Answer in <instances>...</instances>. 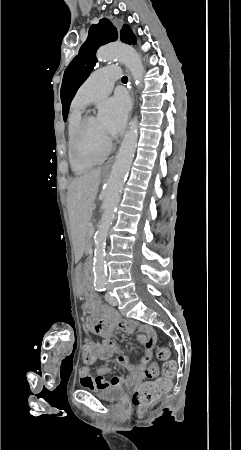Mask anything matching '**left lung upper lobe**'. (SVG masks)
Segmentation results:
<instances>
[{
  "label": "left lung upper lobe",
  "mask_w": 241,
  "mask_h": 450,
  "mask_svg": "<svg viewBox=\"0 0 241 450\" xmlns=\"http://www.w3.org/2000/svg\"><path fill=\"white\" fill-rule=\"evenodd\" d=\"M118 37L126 44H136V37L127 24L123 26L119 33L116 27L106 18L100 20L97 25H91L87 40L81 45L78 55L64 72L61 87L64 121L67 119L69 106L76 91L89 77L97 62L95 57L97 49L100 45L117 40Z\"/></svg>",
  "instance_id": "obj_1"
}]
</instances>
